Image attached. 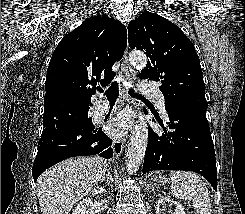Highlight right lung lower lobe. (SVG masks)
<instances>
[{
    "instance_id": "98d812e1",
    "label": "right lung lower lobe",
    "mask_w": 245,
    "mask_h": 214,
    "mask_svg": "<svg viewBox=\"0 0 245 214\" xmlns=\"http://www.w3.org/2000/svg\"><path fill=\"white\" fill-rule=\"evenodd\" d=\"M80 115L44 125L32 169L35 181L43 171L70 157H112V140L101 128H95L90 117Z\"/></svg>"
}]
</instances>
